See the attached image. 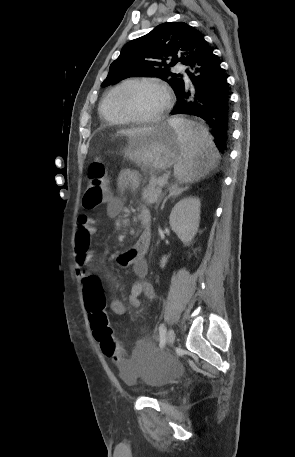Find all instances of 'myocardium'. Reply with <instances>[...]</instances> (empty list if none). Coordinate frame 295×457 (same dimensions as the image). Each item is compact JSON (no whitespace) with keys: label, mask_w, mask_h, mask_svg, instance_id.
Masks as SVG:
<instances>
[{"label":"myocardium","mask_w":295,"mask_h":457,"mask_svg":"<svg viewBox=\"0 0 295 457\" xmlns=\"http://www.w3.org/2000/svg\"><path fill=\"white\" fill-rule=\"evenodd\" d=\"M138 86H156L159 87L160 89L163 90L166 96V102L163 107V109L154 116L151 117H140L135 115L129 107L125 103V98L127 94L133 90L134 88ZM115 103L118 111L126 117L130 122L134 123H154L159 120H161L169 111L171 104H172V95L169 90V88L162 83L161 81L158 80H153V79H136V80H131L126 82L121 86V88L118 90L116 97H115Z\"/></svg>","instance_id":"1"}]
</instances>
